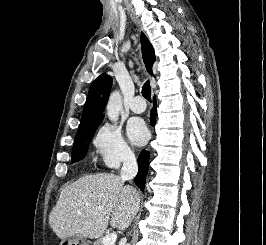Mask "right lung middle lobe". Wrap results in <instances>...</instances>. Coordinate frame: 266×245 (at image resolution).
Here are the masks:
<instances>
[{"label":"right lung middle lobe","mask_w":266,"mask_h":245,"mask_svg":"<svg viewBox=\"0 0 266 245\" xmlns=\"http://www.w3.org/2000/svg\"><path fill=\"white\" fill-rule=\"evenodd\" d=\"M103 118L94 120L92 122L79 125V130L76 134L72 155H71V162H77L82 160L88 150L89 143L91 142L93 135L102 122Z\"/></svg>","instance_id":"obj_1"}]
</instances>
